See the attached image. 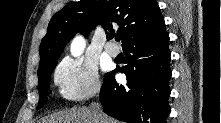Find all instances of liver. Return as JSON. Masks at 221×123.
Here are the masks:
<instances>
[{"label":"liver","instance_id":"1","mask_svg":"<svg viewBox=\"0 0 221 123\" xmlns=\"http://www.w3.org/2000/svg\"><path fill=\"white\" fill-rule=\"evenodd\" d=\"M43 123H94L90 108H73L58 112L43 120ZM102 123H116L113 119L102 113Z\"/></svg>","mask_w":221,"mask_h":123}]
</instances>
